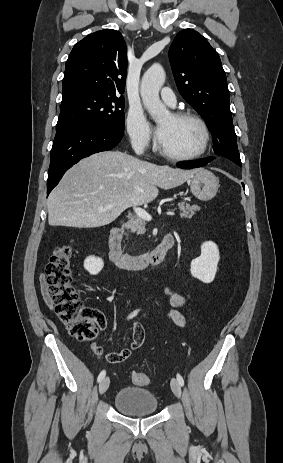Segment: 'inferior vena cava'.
I'll list each match as a JSON object with an SVG mask.
<instances>
[{
    "label": "inferior vena cava",
    "instance_id": "inferior-vena-cava-1",
    "mask_svg": "<svg viewBox=\"0 0 283 463\" xmlns=\"http://www.w3.org/2000/svg\"><path fill=\"white\" fill-rule=\"evenodd\" d=\"M132 148L137 155H141L144 152V143L141 141H132Z\"/></svg>",
    "mask_w": 283,
    "mask_h": 463
}]
</instances>
